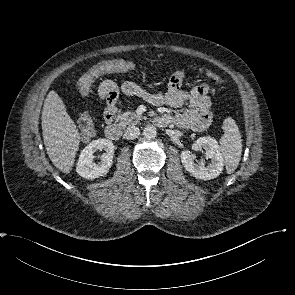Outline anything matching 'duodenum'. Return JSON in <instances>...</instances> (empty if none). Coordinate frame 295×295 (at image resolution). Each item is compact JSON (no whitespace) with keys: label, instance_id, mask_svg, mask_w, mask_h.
I'll list each match as a JSON object with an SVG mask.
<instances>
[{"label":"duodenum","instance_id":"obj_1","mask_svg":"<svg viewBox=\"0 0 295 295\" xmlns=\"http://www.w3.org/2000/svg\"><path fill=\"white\" fill-rule=\"evenodd\" d=\"M170 122L169 118L165 115L157 118V123L160 125H167ZM123 127L118 123L109 124L105 129L106 136L111 140H119L122 136Z\"/></svg>","mask_w":295,"mask_h":295}]
</instances>
